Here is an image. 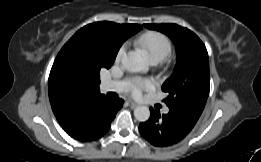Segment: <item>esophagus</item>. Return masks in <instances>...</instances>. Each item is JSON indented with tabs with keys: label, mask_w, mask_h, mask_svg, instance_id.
<instances>
[{
	"label": "esophagus",
	"mask_w": 261,
	"mask_h": 162,
	"mask_svg": "<svg viewBox=\"0 0 261 162\" xmlns=\"http://www.w3.org/2000/svg\"><path fill=\"white\" fill-rule=\"evenodd\" d=\"M127 103L129 104V106H130L131 108H135V107L138 106L137 103H135V102H133V101H131V100H128Z\"/></svg>",
	"instance_id": "esophagus-1"
}]
</instances>
